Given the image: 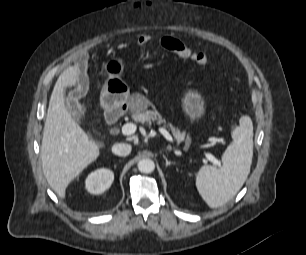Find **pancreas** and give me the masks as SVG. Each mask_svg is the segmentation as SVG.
I'll use <instances>...</instances> for the list:
<instances>
[{"label":"pancreas","mask_w":306,"mask_h":255,"mask_svg":"<svg viewBox=\"0 0 306 255\" xmlns=\"http://www.w3.org/2000/svg\"><path fill=\"white\" fill-rule=\"evenodd\" d=\"M141 103L136 106L132 107V118L136 122H140L142 124H146L151 126L152 123H156L157 125L163 124L164 127H169L172 131L173 136L178 142L184 140L186 133L181 132L179 128L173 127L170 123L166 124V120L161 116V114L153 108L152 110H147L148 107V100L141 97Z\"/></svg>","instance_id":"pancreas-1"}]
</instances>
